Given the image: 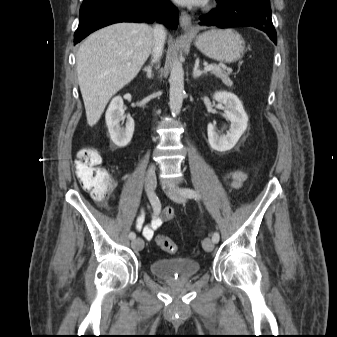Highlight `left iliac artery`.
I'll use <instances>...</instances> for the list:
<instances>
[{
	"label": "left iliac artery",
	"instance_id": "obj_1",
	"mask_svg": "<svg viewBox=\"0 0 337 337\" xmlns=\"http://www.w3.org/2000/svg\"><path fill=\"white\" fill-rule=\"evenodd\" d=\"M181 193H182L183 196H185L187 198H194V199H198L199 198V196L196 193V191H194L193 189H190V188H183ZM219 239H220L219 233L215 232L213 234V236H212L213 242L214 243H218Z\"/></svg>",
	"mask_w": 337,
	"mask_h": 337
}]
</instances>
